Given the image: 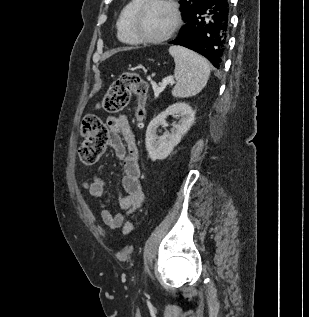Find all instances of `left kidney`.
I'll return each mask as SVG.
<instances>
[{
	"label": "left kidney",
	"instance_id": "obj_1",
	"mask_svg": "<svg viewBox=\"0 0 309 317\" xmlns=\"http://www.w3.org/2000/svg\"><path fill=\"white\" fill-rule=\"evenodd\" d=\"M175 115L180 118L178 124H173L171 132L162 136L157 135L160 125L168 126L166 118ZM195 119V112L187 103H176L169 106L165 111L157 115L149 123L146 130V149L149 157L153 160H163L170 155L174 147L179 144L182 137L188 132Z\"/></svg>",
	"mask_w": 309,
	"mask_h": 317
}]
</instances>
